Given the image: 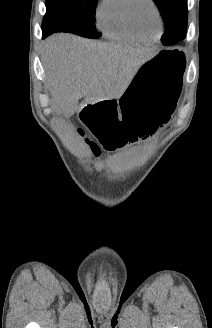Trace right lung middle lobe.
Here are the masks:
<instances>
[{"instance_id":"dd1d6c3e","label":"right lung middle lobe","mask_w":212,"mask_h":328,"mask_svg":"<svg viewBox=\"0 0 212 328\" xmlns=\"http://www.w3.org/2000/svg\"><path fill=\"white\" fill-rule=\"evenodd\" d=\"M98 0H46V14L42 30L47 34L70 32L82 37L97 39L95 6Z\"/></svg>"}]
</instances>
